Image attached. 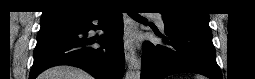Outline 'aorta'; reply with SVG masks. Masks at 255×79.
I'll return each instance as SVG.
<instances>
[{"instance_id":"762f6f07","label":"aorta","mask_w":255,"mask_h":79,"mask_svg":"<svg viewBox=\"0 0 255 79\" xmlns=\"http://www.w3.org/2000/svg\"><path fill=\"white\" fill-rule=\"evenodd\" d=\"M141 76V60L137 57H132L125 79H140Z\"/></svg>"}]
</instances>
